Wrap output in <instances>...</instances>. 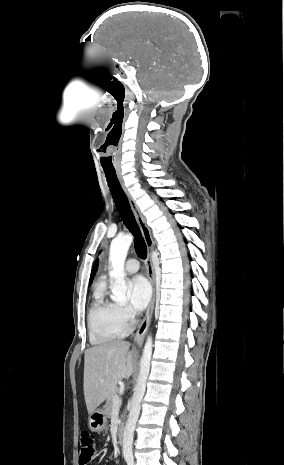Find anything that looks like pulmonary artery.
Wrapping results in <instances>:
<instances>
[{
    "label": "pulmonary artery",
    "instance_id": "e3ab8cb5",
    "mask_svg": "<svg viewBox=\"0 0 284 465\" xmlns=\"http://www.w3.org/2000/svg\"><path fill=\"white\" fill-rule=\"evenodd\" d=\"M126 274H134L139 270V262L136 259H129L124 267Z\"/></svg>",
    "mask_w": 284,
    "mask_h": 465
}]
</instances>
